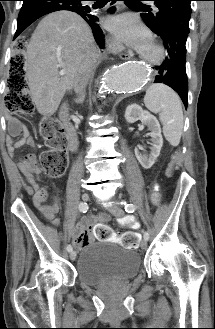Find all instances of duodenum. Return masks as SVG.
<instances>
[{"instance_id": "410a0bca", "label": "duodenum", "mask_w": 215, "mask_h": 329, "mask_svg": "<svg viewBox=\"0 0 215 329\" xmlns=\"http://www.w3.org/2000/svg\"><path fill=\"white\" fill-rule=\"evenodd\" d=\"M69 110H70L69 104L65 103L62 105L59 115L64 123V128L68 138V148L70 151H75L78 146V138L74 130V127L69 119Z\"/></svg>"}]
</instances>
